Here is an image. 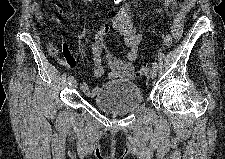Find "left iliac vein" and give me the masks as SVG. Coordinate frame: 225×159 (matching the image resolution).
<instances>
[{
  "mask_svg": "<svg viewBox=\"0 0 225 159\" xmlns=\"http://www.w3.org/2000/svg\"><path fill=\"white\" fill-rule=\"evenodd\" d=\"M150 76H151V78H155L157 76V69L156 68L151 69Z\"/></svg>",
  "mask_w": 225,
  "mask_h": 159,
  "instance_id": "4c4485c4",
  "label": "left iliac vein"
}]
</instances>
